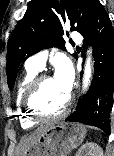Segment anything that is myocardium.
Instances as JSON below:
<instances>
[{"label":"myocardium","instance_id":"myocardium-1","mask_svg":"<svg viewBox=\"0 0 114 156\" xmlns=\"http://www.w3.org/2000/svg\"><path fill=\"white\" fill-rule=\"evenodd\" d=\"M52 78L49 74L43 73L37 75L27 86L24 96H23V107L28 113V115L36 120V121H47V120H55L60 119L67 115L69 112L70 106L72 104V97L69 95L66 104L64 107L55 114H45L39 110L36 104V97L39 92V89L42 85V83Z\"/></svg>","mask_w":114,"mask_h":156}]
</instances>
